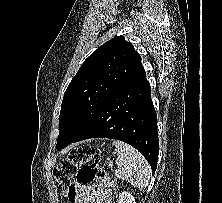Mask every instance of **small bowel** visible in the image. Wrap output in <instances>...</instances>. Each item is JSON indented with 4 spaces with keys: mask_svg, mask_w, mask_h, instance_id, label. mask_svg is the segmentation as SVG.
I'll use <instances>...</instances> for the list:
<instances>
[{
    "mask_svg": "<svg viewBox=\"0 0 222 203\" xmlns=\"http://www.w3.org/2000/svg\"><path fill=\"white\" fill-rule=\"evenodd\" d=\"M68 197L71 203H111L110 191L99 184H73Z\"/></svg>",
    "mask_w": 222,
    "mask_h": 203,
    "instance_id": "c3829d8e",
    "label": "small bowel"
}]
</instances>
